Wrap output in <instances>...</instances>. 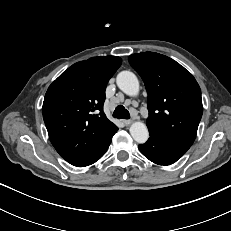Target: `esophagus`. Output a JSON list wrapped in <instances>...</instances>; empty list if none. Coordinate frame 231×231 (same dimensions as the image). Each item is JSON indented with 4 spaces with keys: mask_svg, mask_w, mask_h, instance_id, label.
Here are the masks:
<instances>
[{
    "mask_svg": "<svg viewBox=\"0 0 231 231\" xmlns=\"http://www.w3.org/2000/svg\"><path fill=\"white\" fill-rule=\"evenodd\" d=\"M123 123L128 126L130 124H132V120H123Z\"/></svg>",
    "mask_w": 231,
    "mask_h": 231,
    "instance_id": "34e87169",
    "label": "esophagus"
}]
</instances>
